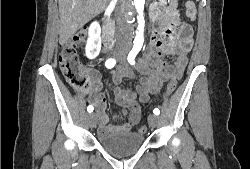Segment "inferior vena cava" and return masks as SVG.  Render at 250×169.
I'll return each instance as SVG.
<instances>
[{"mask_svg":"<svg viewBox=\"0 0 250 169\" xmlns=\"http://www.w3.org/2000/svg\"><path fill=\"white\" fill-rule=\"evenodd\" d=\"M130 0H122V4H129ZM129 16L128 14H118L116 18V22L118 24V32H126L130 26V22H128Z\"/></svg>","mask_w":250,"mask_h":169,"instance_id":"obj_1","label":"inferior vena cava"}]
</instances>
